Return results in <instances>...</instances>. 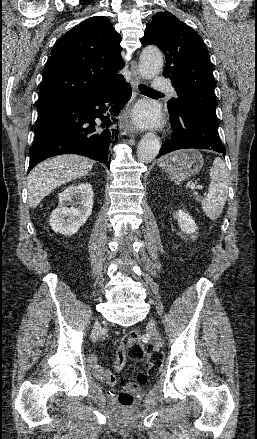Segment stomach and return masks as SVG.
Listing matches in <instances>:
<instances>
[{
	"instance_id": "obj_1",
	"label": "stomach",
	"mask_w": 257,
	"mask_h": 439,
	"mask_svg": "<svg viewBox=\"0 0 257 439\" xmlns=\"http://www.w3.org/2000/svg\"><path fill=\"white\" fill-rule=\"evenodd\" d=\"M203 157L194 149L177 150L166 156L160 166L177 182L198 173L203 166Z\"/></svg>"
}]
</instances>
